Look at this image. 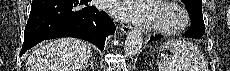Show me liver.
<instances>
[{
	"mask_svg": "<svg viewBox=\"0 0 230 71\" xmlns=\"http://www.w3.org/2000/svg\"><path fill=\"white\" fill-rule=\"evenodd\" d=\"M91 57L89 45L74 38L41 44L28 56L27 71H83Z\"/></svg>",
	"mask_w": 230,
	"mask_h": 71,
	"instance_id": "6515ba94",
	"label": "liver"
}]
</instances>
